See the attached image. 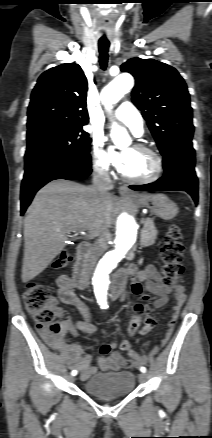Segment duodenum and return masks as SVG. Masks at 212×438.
Returning <instances> with one entry per match:
<instances>
[{
  "instance_id": "410a0bca",
  "label": "duodenum",
  "mask_w": 212,
  "mask_h": 438,
  "mask_svg": "<svg viewBox=\"0 0 212 438\" xmlns=\"http://www.w3.org/2000/svg\"><path fill=\"white\" fill-rule=\"evenodd\" d=\"M90 249L91 246L87 242L81 243L77 249L76 262L73 269V280L76 287L81 290L86 288V272ZM123 287V281L116 276L113 280L111 298L118 299L122 293Z\"/></svg>"
}]
</instances>
